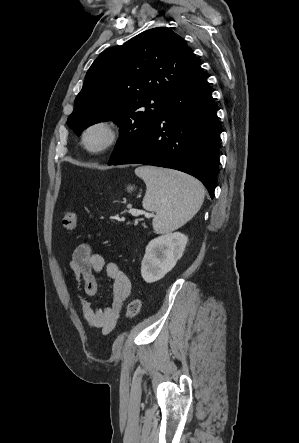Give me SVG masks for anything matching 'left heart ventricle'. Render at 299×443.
<instances>
[{
    "instance_id": "1",
    "label": "left heart ventricle",
    "mask_w": 299,
    "mask_h": 443,
    "mask_svg": "<svg viewBox=\"0 0 299 443\" xmlns=\"http://www.w3.org/2000/svg\"><path fill=\"white\" fill-rule=\"evenodd\" d=\"M106 139L105 131L97 129L92 131L88 136V144L91 147H98L104 143Z\"/></svg>"
}]
</instances>
